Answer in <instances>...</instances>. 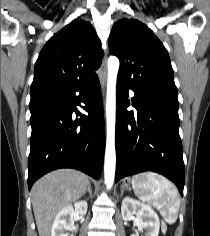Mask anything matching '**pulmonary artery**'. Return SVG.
Masks as SVG:
<instances>
[{"label": "pulmonary artery", "mask_w": 210, "mask_h": 236, "mask_svg": "<svg viewBox=\"0 0 210 236\" xmlns=\"http://www.w3.org/2000/svg\"><path fill=\"white\" fill-rule=\"evenodd\" d=\"M130 95L133 96V92L132 91H130Z\"/></svg>", "instance_id": "obj_1"}]
</instances>
